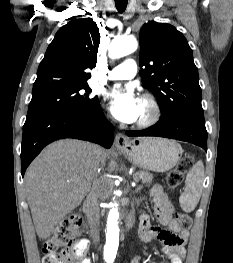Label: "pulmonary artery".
<instances>
[{
  "label": "pulmonary artery",
  "instance_id": "e3ab8cb5",
  "mask_svg": "<svg viewBox=\"0 0 233 263\" xmlns=\"http://www.w3.org/2000/svg\"><path fill=\"white\" fill-rule=\"evenodd\" d=\"M136 73H137L136 62L133 59L128 58L118 66L108 71L106 78L108 80L131 79L136 75Z\"/></svg>",
  "mask_w": 233,
  "mask_h": 263
}]
</instances>
